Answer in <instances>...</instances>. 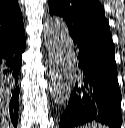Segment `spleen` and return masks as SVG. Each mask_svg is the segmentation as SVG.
I'll return each instance as SVG.
<instances>
[{
	"instance_id": "3e777b00",
	"label": "spleen",
	"mask_w": 125,
	"mask_h": 128,
	"mask_svg": "<svg viewBox=\"0 0 125 128\" xmlns=\"http://www.w3.org/2000/svg\"><path fill=\"white\" fill-rule=\"evenodd\" d=\"M83 128H105V127L102 126V125H98V124L94 123V124H91V125H86Z\"/></svg>"
}]
</instances>
